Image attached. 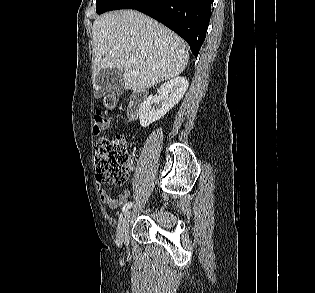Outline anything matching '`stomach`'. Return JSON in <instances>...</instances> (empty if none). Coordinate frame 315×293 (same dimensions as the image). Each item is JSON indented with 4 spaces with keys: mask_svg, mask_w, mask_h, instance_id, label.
<instances>
[{
    "mask_svg": "<svg viewBox=\"0 0 315 293\" xmlns=\"http://www.w3.org/2000/svg\"><path fill=\"white\" fill-rule=\"evenodd\" d=\"M115 103H118V96H113V93H108V96H105L104 105L107 106L108 110H115Z\"/></svg>",
    "mask_w": 315,
    "mask_h": 293,
    "instance_id": "1",
    "label": "stomach"
}]
</instances>
